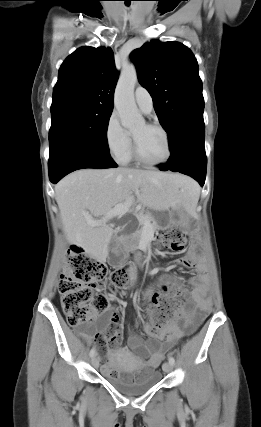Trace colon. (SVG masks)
I'll return each mask as SVG.
<instances>
[{
  "mask_svg": "<svg viewBox=\"0 0 261 427\" xmlns=\"http://www.w3.org/2000/svg\"><path fill=\"white\" fill-rule=\"evenodd\" d=\"M188 235L180 228H171L159 240L175 252H181ZM129 272L118 268L108 273L106 266L89 258L82 248L74 246L67 255V264L59 281L62 309L70 326L91 324L109 309V297L125 288ZM150 334L160 335L180 315L182 300L177 288H166L152 296Z\"/></svg>",
  "mask_w": 261,
  "mask_h": 427,
  "instance_id": "obj_1",
  "label": "colon"
}]
</instances>
